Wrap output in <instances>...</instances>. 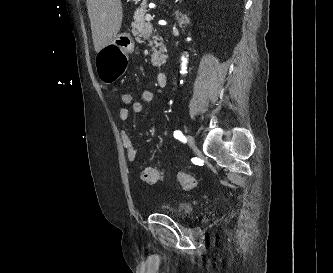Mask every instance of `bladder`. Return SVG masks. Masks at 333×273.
Returning a JSON list of instances; mask_svg holds the SVG:
<instances>
[{"label":"bladder","mask_w":333,"mask_h":273,"mask_svg":"<svg viewBox=\"0 0 333 273\" xmlns=\"http://www.w3.org/2000/svg\"><path fill=\"white\" fill-rule=\"evenodd\" d=\"M192 212V205L184 202L177 205L175 208L168 210V213L180 220L186 219Z\"/></svg>","instance_id":"1"}]
</instances>
